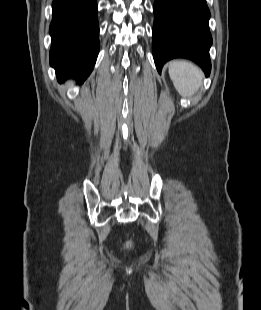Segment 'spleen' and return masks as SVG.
Listing matches in <instances>:
<instances>
[{
    "instance_id": "1",
    "label": "spleen",
    "mask_w": 261,
    "mask_h": 310,
    "mask_svg": "<svg viewBox=\"0 0 261 310\" xmlns=\"http://www.w3.org/2000/svg\"><path fill=\"white\" fill-rule=\"evenodd\" d=\"M168 71L175 89L183 97L192 96L202 85L201 69L189 61H171Z\"/></svg>"
}]
</instances>
